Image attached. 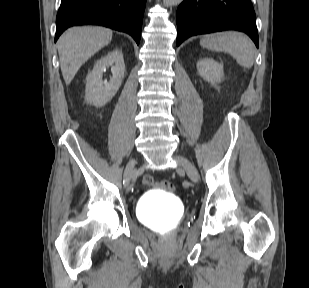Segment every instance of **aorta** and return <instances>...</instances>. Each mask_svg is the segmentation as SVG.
Masks as SVG:
<instances>
[{
  "label": "aorta",
  "instance_id": "1",
  "mask_svg": "<svg viewBox=\"0 0 309 288\" xmlns=\"http://www.w3.org/2000/svg\"><path fill=\"white\" fill-rule=\"evenodd\" d=\"M182 2V0H163V4L167 7L175 6Z\"/></svg>",
  "mask_w": 309,
  "mask_h": 288
}]
</instances>
